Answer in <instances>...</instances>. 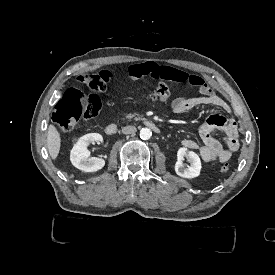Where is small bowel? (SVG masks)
<instances>
[{
    "label": "small bowel",
    "instance_id": "obj_1",
    "mask_svg": "<svg viewBox=\"0 0 275 275\" xmlns=\"http://www.w3.org/2000/svg\"><path fill=\"white\" fill-rule=\"evenodd\" d=\"M131 75L134 78L150 77L155 79H169L177 82H186L183 77H187L183 71L169 66H158L152 62L134 65L131 68ZM200 81L199 75H193ZM100 79L108 85H113L117 81V76L110 69H103L100 72ZM199 88L200 95L195 97H178L171 103V110L174 114H184L200 106H216L232 116L230 105L218 96L210 83L204 82L202 85H195ZM219 131L224 140V144L212 136V133ZM201 142L193 139H183L182 145L185 148L195 150L205 162H227L234 152L239 148V133L235 119L231 117L225 126H218L213 121L203 123L199 128Z\"/></svg>",
    "mask_w": 275,
    "mask_h": 275
}]
</instances>
